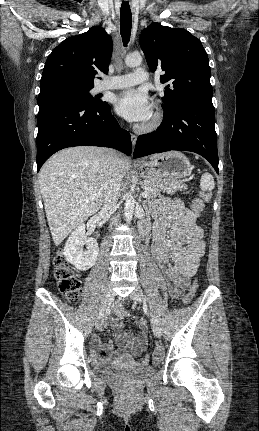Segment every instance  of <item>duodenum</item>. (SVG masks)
I'll use <instances>...</instances> for the list:
<instances>
[{"label":"duodenum","instance_id":"410a0bca","mask_svg":"<svg viewBox=\"0 0 259 431\" xmlns=\"http://www.w3.org/2000/svg\"><path fill=\"white\" fill-rule=\"evenodd\" d=\"M141 234H142V236L146 235V228L145 227H141Z\"/></svg>","mask_w":259,"mask_h":431}]
</instances>
